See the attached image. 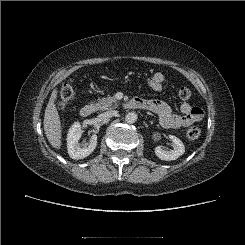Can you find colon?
<instances>
[{"instance_id":"colon-1","label":"colon","mask_w":245,"mask_h":245,"mask_svg":"<svg viewBox=\"0 0 245 245\" xmlns=\"http://www.w3.org/2000/svg\"><path fill=\"white\" fill-rule=\"evenodd\" d=\"M178 94L181 99H188L191 95V91L187 87H181ZM75 95V85L72 82L65 83L60 89L59 100L57 103L58 109H66L72 103ZM200 133L201 131L198 127H191L187 131V137L191 140H195L200 136Z\"/></svg>"}]
</instances>
